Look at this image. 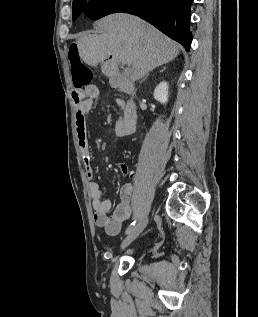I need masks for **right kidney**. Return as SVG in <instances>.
Returning a JSON list of instances; mask_svg holds the SVG:
<instances>
[{"instance_id": "right-kidney-1", "label": "right kidney", "mask_w": 258, "mask_h": 317, "mask_svg": "<svg viewBox=\"0 0 258 317\" xmlns=\"http://www.w3.org/2000/svg\"><path fill=\"white\" fill-rule=\"evenodd\" d=\"M154 98L159 102H167L168 100V84L167 82H159L153 92Z\"/></svg>"}]
</instances>
